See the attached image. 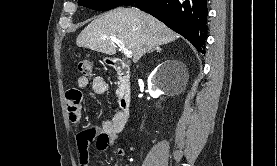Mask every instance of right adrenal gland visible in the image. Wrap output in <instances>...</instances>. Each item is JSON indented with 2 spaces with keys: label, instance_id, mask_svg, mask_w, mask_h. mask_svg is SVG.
Instances as JSON below:
<instances>
[{
  "label": "right adrenal gland",
  "instance_id": "1",
  "mask_svg": "<svg viewBox=\"0 0 277 166\" xmlns=\"http://www.w3.org/2000/svg\"><path fill=\"white\" fill-rule=\"evenodd\" d=\"M153 51H156L157 53H160L162 50H161L160 47H155L154 49H152L151 51H149V53H150V52H153Z\"/></svg>",
  "mask_w": 277,
  "mask_h": 166
}]
</instances>
